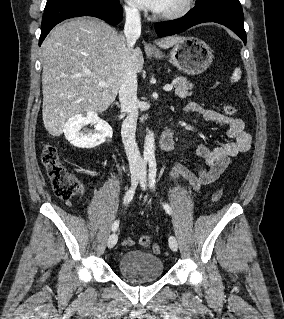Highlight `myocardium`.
Returning a JSON list of instances; mask_svg holds the SVG:
<instances>
[{
  "label": "myocardium",
  "instance_id": "f54148a6",
  "mask_svg": "<svg viewBox=\"0 0 284 319\" xmlns=\"http://www.w3.org/2000/svg\"><path fill=\"white\" fill-rule=\"evenodd\" d=\"M195 0H183L180 7L166 13H157L156 18L160 20H176L186 16L193 8Z\"/></svg>",
  "mask_w": 284,
  "mask_h": 319
}]
</instances>
